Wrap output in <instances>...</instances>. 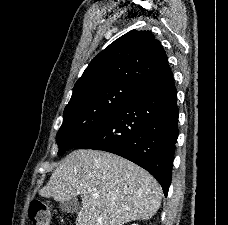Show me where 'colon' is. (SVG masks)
<instances>
[{"label":"colon","instance_id":"colon-1","mask_svg":"<svg viewBox=\"0 0 228 225\" xmlns=\"http://www.w3.org/2000/svg\"><path fill=\"white\" fill-rule=\"evenodd\" d=\"M29 219L32 225H51V211L40 200H33L29 206Z\"/></svg>","mask_w":228,"mask_h":225}]
</instances>
